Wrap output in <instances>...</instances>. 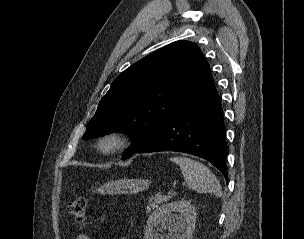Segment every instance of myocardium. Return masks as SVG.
<instances>
[{"mask_svg":"<svg viewBox=\"0 0 304 239\" xmlns=\"http://www.w3.org/2000/svg\"><path fill=\"white\" fill-rule=\"evenodd\" d=\"M129 145V138L122 130H110L97 139V148L106 155L116 154Z\"/></svg>","mask_w":304,"mask_h":239,"instance_id":"1","label":"myocardium"}]
</instances>
